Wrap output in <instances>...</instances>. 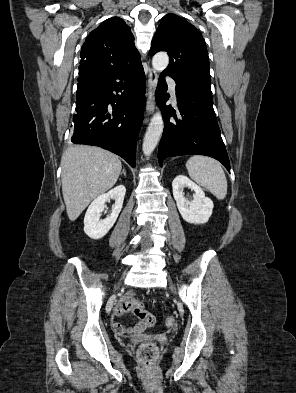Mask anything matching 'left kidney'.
Masks as SVG:
<instances>
[{
  "instance_id": "1",
  "label": "left kidney",
  "mask_w": 296,
  "mask_h": 393,
  "mask_svg": "<svg viewBox=\"0 0 296 393\" xmlns=\"http://www.w3.org/2000/svg\"><path fill=\"white\" fill-rule=\"evenodd\" d=\"M195 192L193 200L184 197V188ZM173 196L182 218L191 224H205L212 215L213 202L197 184L184 175H178L172 182Z\"/></svg>"
}]
</instances>
